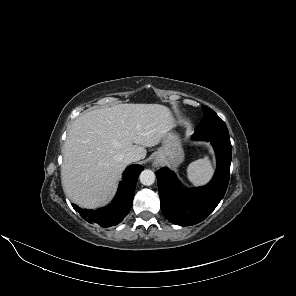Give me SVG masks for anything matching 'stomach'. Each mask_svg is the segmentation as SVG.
Instances as JSON below:
<instances>
[{"label":"stomach","instance_id":"0dacf381","mask_svg":"<svg viewBox=\"0 0 296 296\" xmlns=\"http://www.w3.org/2000/svg\"><path fill=\"white\" fill-rule=\"evenodd\" d=\"M183 160L184 151L181 139L177 134L169 132L162 139V146L157 151L155 162L176 168Z\"/></svg>","mask_w":296,"mask_h":296}]
</instances>
